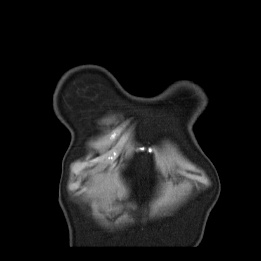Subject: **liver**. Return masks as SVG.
<instances>
[{
	"label": "liver",
	"instance_id": "obj_1",
	"mask_svg": "<svg viewBox=\"0 0 261 261\" xmlns=\"http://www.w3.org/2000/svg\"><path fill=\"white\" fill-rule=\"evenodd\" d=\"M91 198L98 201V204L107 206L111 204L116 197L123 198L126 189L117 175L111 172H96L91 178Z\"/></svg>",
	"mask_w": 261,
	"mask_h": 261
}]
</instances>
